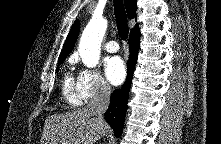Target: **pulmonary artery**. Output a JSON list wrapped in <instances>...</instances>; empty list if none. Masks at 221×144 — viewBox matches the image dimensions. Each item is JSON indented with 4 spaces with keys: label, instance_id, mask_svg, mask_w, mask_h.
<instances>
[{
    "label": "pulmonary artery",
    "instance_id": "obj_1",
    "mask_svg": "<svg viewBox=\"0 0 221 144\" xmlns=\"http://www.w3.org/2000/svg\"><path fill=\"white\" fill-rule=\"evenodd\" d=\"M104 48L106 51L114 53L119 50V45L116 41H108L105 43Z\"/></svg>",
    "mask_w": 221,
    "mask_h": 144
}]
</instances>
